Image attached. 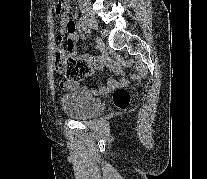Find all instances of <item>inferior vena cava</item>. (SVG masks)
Instances as JSON below:
<instances>
[{"label": "inferior vena cava", "mask_w": 207, "mask_h": 179, "mask_svg": "<svg viewBox=\"0 0 207 179\" xmlns=\"http://www.w3.org/2000/svg\"><path fill=\"white\" fill-rule=\"evenodd\" d=\"M79 2H86V1H88V0H78Z\"/></svg>", "instance_id": "602c4592"}]
</instances>
